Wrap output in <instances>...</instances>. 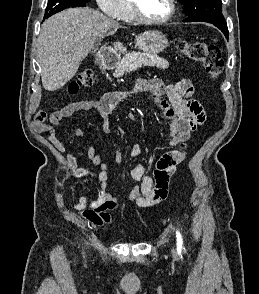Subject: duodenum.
Returning a JSON list of instances; mask_svg holds the SVG:
<instances>
[{"label": "duodenum", "instance_id": "obj_1", "mask_svg": "<svg viewBox=\"0 0 259 294\" xmlns=\"http://www.w3.org/2000/svg\"><path fill=\"white\" fill-rule=\"evenodd\" d=\"M117 62V55L110 51H102L98 57V64L105 69H112Z\"/></svg>", "mask_w": 259, "mask_h": 294}]
</instances>
